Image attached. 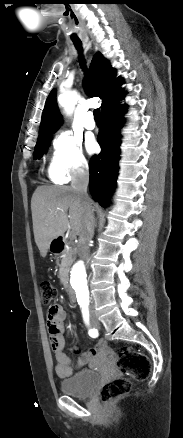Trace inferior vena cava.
<instances>
[{"label": "inferior vena cava", "mask_w": 183, "mask_h": 438, "mask_svg": "<svg viewBox=\"0 0 183 438\" xmlns=\"http://www.w3.org/2000/svg\"><path fill=\"white\" fill-rule=\"evenodd\" d=\"M89 181V171L87 165H82L75 169L72 177L71 187L82 200L85 208L83 230L79 235L78 255L84 261L89 258V242L94 234L95 220L90 198L87 194V186ZM93 302H91V307Z\"/></svg>", "instance_id": "inferior-vena-cava-1"}]
</instances>
